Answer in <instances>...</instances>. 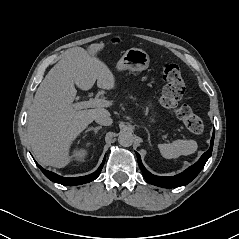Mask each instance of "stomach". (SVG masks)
I'll return each mask as SVG.
<instances>
[{"instance_id":"obj_1","label":"stomach","mask_w":239,"mask_h":239,"mask_svg":"<svg viewBox=\"0 0 239 239\" xmlns=\"http://www.w3.org/2000/svg\"><path fill=\"white\" fill-rule=\"evenodd\" d=\"M150 63V57L147 52L139 48L128 49L121 59L118 61L116 69L118 71L130 70V71H143L148 68ZM147 106L153 109L151 100L147 101ZM155 115H152L151 121H154Z\"/></svg>"}]
</instances>
